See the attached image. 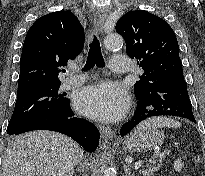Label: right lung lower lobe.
<instances>
[{
  "mask_svg": "<svg viewBox=\"0 0 205 176\" xmlns=\"http://www.w3.org/2000/svg\"><path fill=\"white\" fill-rule=\"evenodd\" d=\"M32 130H52L66 134L88 152L96 150L100 138L98 129L92 123L74 117L68 99L61 106H52L13 135Z\"/></svg>",
  "mask_w": 205,
  "mask_h": 176,
  "instance_id": "obj_1",
  "label": "right lung lower lobe"
}]
</instances>
